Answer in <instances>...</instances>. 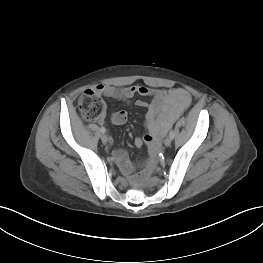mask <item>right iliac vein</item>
I'll return each instance as SVG.
<instances>
[{
  "mask_svg": "<svg viewBox=\"0 0 263 263\" xmlns=\"http://www.w3.org/2000/svg\"><path fill=\"white\" fill-rule=\"evenodd\" d=\"M101 141H102L103 143H107L108 138H107V136H106L105 134H102V135H101Z\"/></svg>",
  "mask_w": 263,
  "mask_h": 263,
  "instance_id": "1",
  "label": "right iliac vein"
}]
</instances>
